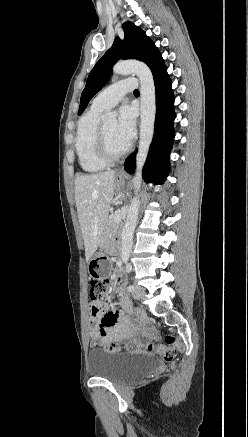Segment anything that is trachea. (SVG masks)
Here are the masks:
<instances>
[{"label": "trachea", "instance_id": "1", "mask_svg": "<svg viewBox=\"0 0 248 437\" xmlns=\"http://www.w3.org/2000/svg\"><path fill=\"white\" fill-rule=\"evenodd\" d=\"M134 94H139V91H138V90H135V91H134Z\"/></svg>", "mask_w": 248, "mask_h": 437}]
</instances>
